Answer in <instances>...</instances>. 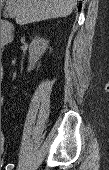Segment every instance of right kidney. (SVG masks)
<instances>
[{"label": "right kidney", "mask_w": 109, "mask_h": 170, "mask_svg": "<svg viewBox=\"0 0 109 170\" xmlns=\"http://www.w3.org/2000/svg\"><path fill=\"white\" fill-rule=\"evenodd\" d=\"M48 41L41 37H36L32 40L29 46V67L28 71H31L40 57L45 53L48 47Z\"/></svg>", "instance_id": "right-kidney-1"}]
</instances>
